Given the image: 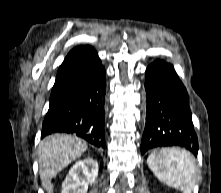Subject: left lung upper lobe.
<instances>
[{"label": "left lung upper lobe", "instance_id": "obj_1", "mask_svg": "<svg viewBox=\"0 0 221 193\" xmlns=\"http://www.w3.org/2000/svg\"><path fill=\"white\" fill-rule=\"evenodd\" d=\"M163 119L166 124L173 126L175 124V119H174V111L169 108L165 107L162 111Z\"/></svg>", "mask_w": 221, "mask_h": 193}]
</instances>
